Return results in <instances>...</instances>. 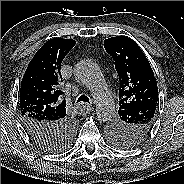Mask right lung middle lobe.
<instances>
[{"instance_id":"obj_1","label":"right lung middle lobe","mask_w":184,"mask_h":184,"mask_svg":"<svg viewBox=\"0 0 184 184\" xmlns=\"http://www.w3.org/2000/svg\"><path fill=\"white\" fill-rule=\"evenodd\" d=\"M73 133H74V131L67 133L61 145H53V146H50L46 149H48L50 151H59V150L64 149L65 147L68 146V143L71 141Z\"/></svg>"}]
</instances>
